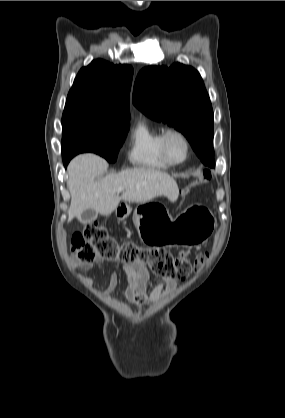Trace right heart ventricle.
Returning <instances> with one entry per match:
<instances>
[{
    "instance_id": "e07e8e85",
    "label": "right heart ventricle",
    "mask_w": 285,
    "mask_h": 418,
    "mask_svg": "<svg viewBox=\"0 0 285 418\" xmlns=\"http://www.w3.org/2000/svg\"><path fill=\"white\" fill-rule=\"evenodd\" d=\"M160 135L159 129L140 121L130 134L127 153L129 162L153 170L167 168L170 163L160 149Z\"/></svg>"
}]
</instances>
